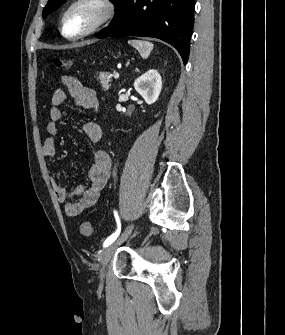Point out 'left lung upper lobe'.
Masks as SVG:
<instances>
[{
    "instance_id": "obj_1",
    "label": "left lung upper lobe",
    "mask_w": 285,
    "mask_h": 335,
    "mask_svg": "<svg viewBox=\"0 0 285 335\" xmlns=\"http://www.w3.org/2000/svg\"><path fill=\"white\" fill-rule=\"evenodd\" d=\"M65 0H48L47 5L43 9V18H46V16L55 10L57 7H59ZM115 7L122 1V0H111Z\"/></svg>"
}]
</instances>
